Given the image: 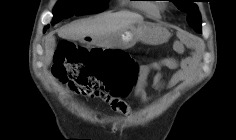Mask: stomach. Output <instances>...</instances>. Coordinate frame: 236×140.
I'll use <instances>...</instances> for the list:
<instances>
[{
	"instance_id": "obj_1",
	"label": "stomach",
	"mask_w": 236,
	"mask_h": 140,
	"mask_svg": "<svg viewBox=\"0 0 236 140\" xmlns=\"http://www.w3.org/2000/svg\"><path fill=\"white\" fill-rule=\"evenodd\" d=\"M169 31L162 25L153 22H140L125 31H109V36H99V45L127 49L136 42L142 41L148 44H162L169 38Z\"/></svg>"
}]
</instances>
